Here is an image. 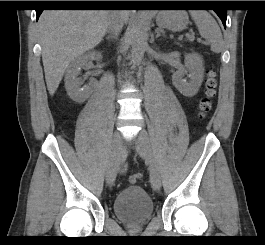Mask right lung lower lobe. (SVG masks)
<instances>
[{
	"mask_svg": "<svg viewBox=\"0 0 265 245\" xmlns=\"http://www.w3.org/2000/svg\"><path fill=\"white\" fill-rule=\"evenodd\" d=\"M52 6H79V7H130L134 6L130 2L127 1H82L77 5H72L68 3H52ZM43 9H37V20L42 13Z\"/></svg>",
	"mask_w": 265,
	"mask_h": 245,
	"instance_id": "obj_1",
	"label": "right lung lower lobe"
}]
</instances>
